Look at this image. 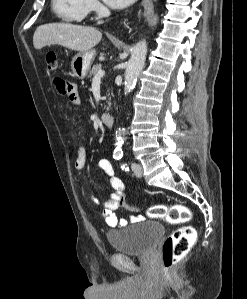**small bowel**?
<instances>
[{
  "label": "small bowel",
  "instance_id": "1",
  "mask_svg": "<svg viewBox=\"0 0 247 299\" xmlns=\"http://www.w3.org/2000/svg\"><path fill=\"white\" fill-rule=\"evenodd\" d=\"M56 90L66 96L68 100L73 104H78L80 102L78 88L76 84L66 81L63 78L57 77L53 80ZM87 161L86 148L84 145H79L76 151L75 167L78 170H83L85 168ZM99 169L105 174L107 183L111 188L112 192L102 203V215L105 218L106 223L112 227L125 226L127 220L120 218L115 214V211L121 206L130 208L131 210H138L136 207H128L124 204V191L125 186L123 181L118 178L114 172V168L108 159H100L98 162ZM88 199L95 205L99 206L98 200L91 194L88 193ZM143 216H132L130 221L135 223L143 220Z\"/></svg>",
  "mask_w": 247,
  "mask_h": 299
}]
</instances>
